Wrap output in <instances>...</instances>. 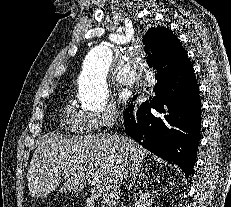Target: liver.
Here are the masks:
<instances>
[{"label":"liver","mask_w":231,"mask_h":207,"mask_svg":"<svg viewBox=\"0 0 231 207\" xmlns=\"http://www.w3.org/2000/svg\"><path fill=\"white\" fill-rule=\"evenodd\" d=\"M148 154L125 135L119 137L117 146L110 135L101 133L76 138L44 136L28 167L29 194L41 198L57 187L60 193L76 192L92 180L101 185L104 202L115 207L122 181L142 166Z\"/></svg>","instance_id":"obj_1"}]
</instances>
